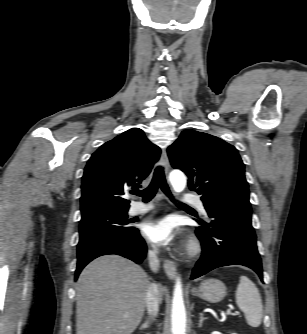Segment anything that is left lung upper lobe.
Returning <instances> with one entry per match:
<instances>
[{"mask_svg": "<svg viewBox=\"0 0 307 334\" xmlns=\"http://www.w3.org/2000/svg\"><path fill=\"white\" fill-rule=\"evenodd\" d=\"M171 165L189 177L209 213L229 211L251 217L248 183L237 149L207 133L184 130L168 148Z\"/></svg>", "mask_w": 307, "mask_h": 334, "instance_id": "left-lung-upper-lobe-1", "label": "left lung upper lobe"}]
</instances>
